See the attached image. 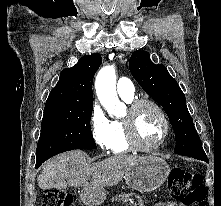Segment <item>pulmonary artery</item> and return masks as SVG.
Listing matches in <instances>:
<instances>
[{"instance_id":"1","label":"pulmonary artery","mask_w":221,"mask_h":206,"mask_svg":"<svg viewBox=\"0 0 221 206\" xmlns=\"http://www.w3.org/2000/svg\"><path fill=\"white\" fill-rule=\"evenodd\" d=\"M117 92L121 97L133 98L135 89L132 81L128 78H120L117 82Z\"/></svg>"}]
</instances>
